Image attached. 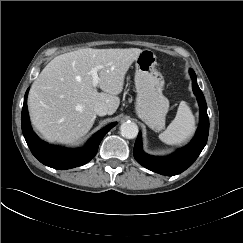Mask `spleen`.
<instances>
[{
	"mask_svg": "<svg viewBox=\"0 0 243 243\" xmlns=\"http://www.w3.org/2000/svg\"><path fill=\"white\" fill-rule=\"evenodd\" d=\"M195 131V119L185 101L179 104L174 120L160 133L159 139L168 145H178L189 139Z\"/></svg>",
	"mask_w": 243,
	"mask_h": 243,
	"instance_id": "1",
	"label": "spleen"
}]
</instances>
